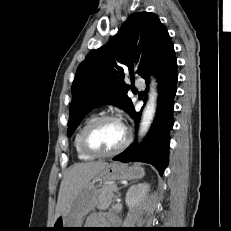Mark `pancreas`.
<instances>
[{
    "mask_svg": "<svg viewBox=\"0 0 231 231\" xmlns=\"http://www.w3.org/2000/svg\"><path fill=\"white\" fill-rule=\"evenodd\" d=\"M115 186L108 185L101 188L98 195L99 208H108L109 205L113 202L114 192L117 190L114 189Z\"/></svg>",
    "mask_w": 231,
    "mask_h": 231,
    "instance_id": "pancreas-1",
    "label": "pancreas"
}]
</instances>
